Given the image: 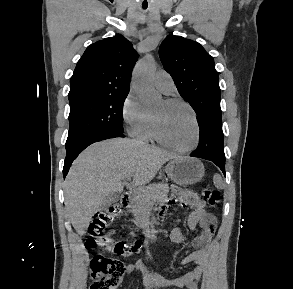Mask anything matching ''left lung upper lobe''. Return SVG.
<instances>
[{
  "instance_id": "1",
  "label": "left lung upper lobe",
  "mask_w": 293,
  "mask_h": 289,
  "mask_svg": "<svg viewBox=\"0 0 293 289\" xmlns=\"http://www.w3.org/2000/svg\"><path fill=\"white\" fill-rule=\"evenodd\" d=\"M159 56L179 94L196 112L198 123L222 122L219 75L213 57L199 43L173 35L163 40Z\"/></svg>"
}]
</instances>
